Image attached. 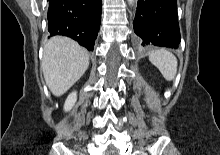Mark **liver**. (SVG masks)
Wrapping results in <instances>:
<instances>
[{"instance_id":"1","label":"liver","mask_w":220,"mask_h":155,"mask_svg":"<svg viewBox=\"0 0 220 155\" xmlns=\"http://www.w3.org/2000/svg\"><path fill=\"white\" fill-rule=\"evenodd\" d=\"M88 66V52L70 38L53 37L44 46L41 68L46 84L55 96L66 93Z\"/></svg>"}]
</instances>
